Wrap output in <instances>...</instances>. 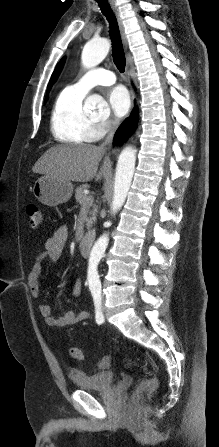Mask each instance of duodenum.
Masks as SVG:
<instances>
[{
    "instance_id": "1",
    "label": "duodenum",
    "mask_w": 219,
    "mask_h": 447,
    "mask_svg": "<svg viewBox=\"0 0 219 447\" xmlns=\"http://www.w3.org/2000/svg\"><path fill=\"white\" fill-rule=\"evenodd\" d=\"M93 240V234L91 231L86 232L80 243H79V249H80V253L83 257H88L89 256V252H90V247H91V243Z\"/></svg>"
}]
</instances>
